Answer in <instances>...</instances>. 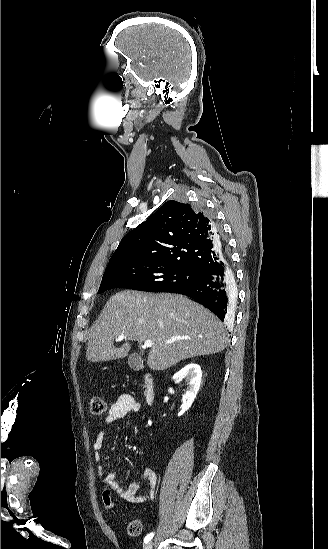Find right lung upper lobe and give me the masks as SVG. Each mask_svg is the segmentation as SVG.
I'll use <instances>...</instances> for the list:
<instances>
[{"instance_id": "obj_1", "label": "right lung upper lobe", "mask_w": 328, "mask_h": 549, "mask_svg": "<svg viewBox=\"0 0 328 549\" xmlns=\"http://www.w3.org/2000/svg\"><path fill=\"white\" fill-rule=\"evenodd\" d=\"M226 256L215 220L171 200L121 240L106 271L126 261H150L205 272Z\"/></svg>"}]
</instances>
